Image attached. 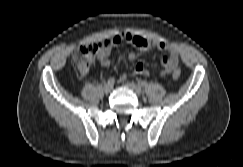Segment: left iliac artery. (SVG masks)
Returning <instances> with one entry per match:
<instances>
[{"instance_id":"left-iliac-artery-1","label":"left iliac artery","mask_w":243,"mask_h":167,"mask_svg":"<svg viewBox=\"0 0 243 167\" xmlns=\"http://www.w3.org/2000/svg\"><path fill=\"white\" fill-rule=\"evenodd\" d=\"M139 85L142 86V87H145L147 85V82L146 81H140Z\"/></svg>"}]
</instances>
